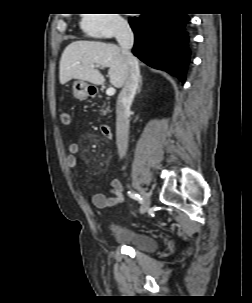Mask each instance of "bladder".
Segmentation results:
<instances>
[{
  "instance_id": "bladder-1",
  "label": "bladder",
  "mask_w": 252,
  "mask_h": 303,
  "mask_svg": "<svg viewBox=\"0 0 252 303\" xmlns=\"http://www.w3.org/2000/svg\"><path fill=\"white\" fill-rule=\"evenodd\" d=\"M113 236L123 244L146 253H153L158 248V242L149 234L125 227L119 224L111 226Z\"/></svg>"
}]
</instances>
